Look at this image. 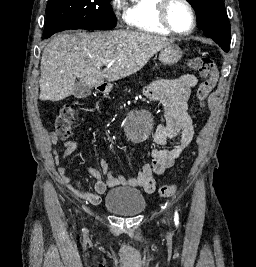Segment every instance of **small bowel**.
<instances>
[{
  "instance_id": "1",
  "label": "small bowel",
  "mask_w": 256,
  "mask_h": 267,
  "mask_svg": "<svg viewBox=\"0 0 256 267\" xmlns=\"http://www.w3.org/2000/svg\"><path fill=\"white\" fill-rule=\"evenodd\" d=\"M197 84L198 79L195 75L183 74L177 78L158 79L143 88L144 96L161 103L165 111L166 121L158 124L154 134L155 142L162 148L152 150V164L145 163L141 165L135 177L126 179L111 171L106 160L100 159V171L88 169L90 175L95 179L93 191L84 190L80 185H73L67 175L66 168L60 165L78 147L76 140H70L65 143L63 155L54 153L59 183L65 186L74 196L92 205L100 204L101 195L109 188L130 186L142 188L146 193L155 192V175L160 176L171 168L193 140L195 131L192 120L187 113V108L191 93ZM179 134L181 136L180 143L172 147V142ZM57 141L58 136L53 133L51 142L56 144ZM101 175L105 176V179H102Z\"/></svg>"
}]
</instances>
